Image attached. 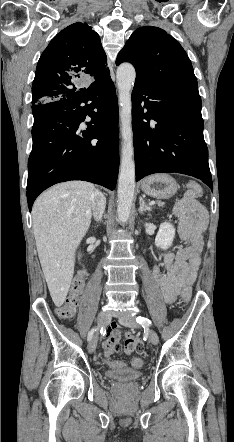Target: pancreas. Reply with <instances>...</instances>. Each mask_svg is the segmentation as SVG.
I'll return each mask as SVG.
<instances>
[{
	"instance_id": "pancreas-1",
	"label": "pancreas",
	"mask_w": 234,
	"mask_h": 442,
	"mask_svg": "<svg viewBox=\"0 0 234 442\" xmlns=\"http://www.w3.org/2000/svg\"><path fill=\"white\" fill-rule=\"evenodd\" d=\"M158 206H164V202L158 201Z\"/></svg>"
}]
</instances>
